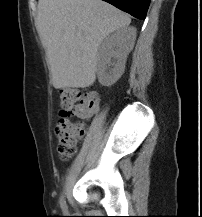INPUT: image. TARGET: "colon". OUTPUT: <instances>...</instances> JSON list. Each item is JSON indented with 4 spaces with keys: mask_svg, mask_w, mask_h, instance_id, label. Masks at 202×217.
Instances as JSON below:
<instances>
[{
    "mask_svg": "<svg viewBox=\"0 0 202 217\" xmlns=\"http://www.w3.org/2000/svg\"><path fill=\"white\" fill-rule=\"evenodd\" d=\"M90 95L78 89L63 88L59 91L60 112L55 131L58 138V153L64 160L70 159L78 142L85 134L82 123L73 120V110L90 102Z\"/></svg>",
    "mask_w": 202,
    "mask_h": 217,
    "instance_id": "obj_1",
    "label": "colon"
}]
</instances>
